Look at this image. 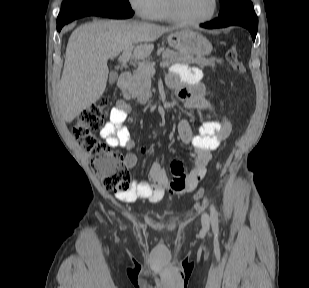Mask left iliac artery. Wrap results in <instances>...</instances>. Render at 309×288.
Segmentation results:
<instances>
[{"instance_id": "left-iliac-artery-1", "label": "left iliac artery", "mask_w": 309, "mask_h": 288, "mask_svg": "<svg viewBox=\"0 0 309 288\" xmlns=\"http://www.w3.org/2000/svg\"><path fill=\"white\" fill-rule=\"evenodd\" d=\"M211 220L214 229L218 228V212L214 205L211 206Z\"/></svg>"}]
</instances>
